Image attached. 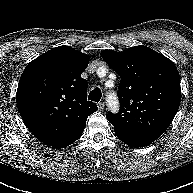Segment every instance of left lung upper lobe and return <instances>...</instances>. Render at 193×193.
<instances>
[{
    "instance_id": "1",
    "label": "left lung upper lobe",
    "mask_w": 193,
    "mask_h": 193,
    "mask_svg": "<svg viewBox=\"0 0 193 193\" xmlns=\"http://www.w3.org/2000/svg\"><path fill=\"white\" fill-rule=\"evenodd\" d=\"M101 56L121 77L117 92L120 111L106 115L114 129L163 134L181 101L180 77L175 64L143 45L124 52L104 50Z\"/></svg>"
}]
</instances>
